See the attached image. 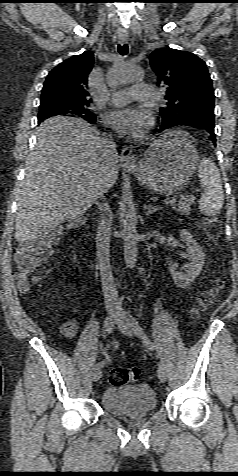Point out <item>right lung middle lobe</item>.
Segmentation results:
<instances>
[{
  "label": "right lung middle lobe",
  "mask_w": 238,
  "mask_h": 476,
  "mask_svg": "<svg viewBox=\"0 0 238 476\" xmlns=\"http://www.w3.org/2000/svg\"><path fill=\"white\" fill-rule=\"evenodd\" d=\"M61 114L78 116L90 123H93L96 119L95 115L89 111L88 106H71L53 101H44L39 106L38 121L41 122L45 118Z\"/></svg>",
  "instance_id": "right-lung-middle-lobe-1"
}]
</instances>
